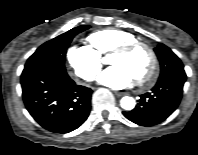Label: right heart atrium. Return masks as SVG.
Returning a JSON list of instances; mask_svg holds the SVG:
<instances>
[{
  "mask_svg": "<svg viewBox=\"0 0 198 155\" xmlns=\"http://www.w3.org/2000/svg\"><path fill=\"white\" fill-rule=\"evenodd\" d=\"M66 61L72 74L85 81L94 80L102 68L101 55L88 45H71Z\"/></svg>",
  "mask_w": 198,
  "mask_h": 155,
  "instance_id": "d8ad5b80",
  "label": "right heart atrium"
}]
</instances>
